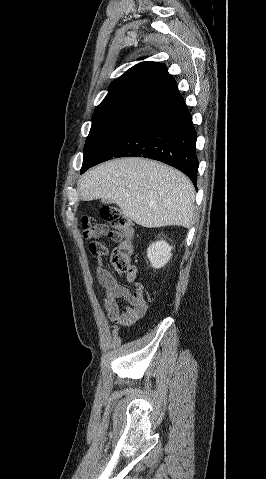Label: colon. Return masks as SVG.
I'll use <instances>...</instances> for the list:
<instances>
[{
	"instance_id": "1",
	"label": "colon",
	"mask_w": 266,
	"mask_h": 479,
	"mask_svg": "<svg viewBox=\"0 0 266 479\" xmlns=\"http://www.w3.org/2000/svg\"><path fill=\"white\" fill-rule=\"evenodd\" d=\"M100 218L108 223L114 232L120 235L119 243L114 247L110 262L117 273L129 276L134 271L132 263L134 229L126 216L118 209L102 207L99 210ZM82 225L88 237H95L107 230L104 223L94 217H84ZM88 250L93 257L103 258L107 255V248L100 242L93 241Z\"/></svg>"
}]
</instances>
